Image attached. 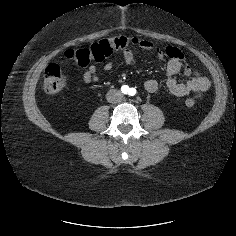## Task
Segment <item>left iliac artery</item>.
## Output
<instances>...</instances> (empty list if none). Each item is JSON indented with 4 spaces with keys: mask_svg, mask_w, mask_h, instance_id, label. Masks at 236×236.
I'll list each match as a JSON object with an SVG mask.
<instances>
[{
    "mask_svg": "<svg viewBox=\"0 0 236 236\" xmlns=\"http://www.w3.org/2000/svg\"><path fill=\"white\" fill-rule=\"evenodd\" d=\"M136 94V89L135 88H130V90H129V95L130 96H133V95H135Z\"/></svg>",
    "mask_w": 236,
    "mask_h": 236,
    "instance_id": "obj_1",
    "label": "left iliac artery"
}]
</instances>
